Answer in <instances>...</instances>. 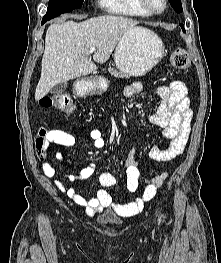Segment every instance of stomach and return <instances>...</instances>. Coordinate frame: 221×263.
Listing matches in <instances>:
<instances>
[{"mask_svg":"<svg viewBox=\"0 0 221 263\" xmlns=\"http://www.w3.org/2000/svg\"><path fill=\"white\" fill-rule=\"evenodd\" d=\"M165 52L161 39L145 28H135L120 39L114 60L117 68L130 76H143L159 63ZM108 81L102 76L80 82L76 89L82 92L105 91Z\"/></svg>","mask_w":221,"mask_h":263,"instance_id":"stomach-1","label":"stomach"}]
</instances>
